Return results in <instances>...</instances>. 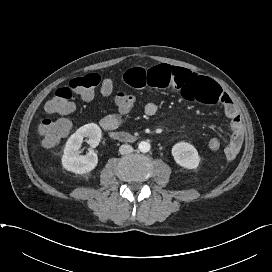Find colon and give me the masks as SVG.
Masks as SVG:
<instances>
[{"mask_svg":"<svg viewBox=\"0 0 272 272\" xmlns=\"http://www.w3.org/2000/svg\"><path fill=\"white\" fill-rule=\"evenodd\" d=\"M99 84H101V92L104 96H110L114 92L111 81H101L99 75L94 73L76 77L67 86L56 90L53 97L46 102L44 109L47 114L57 115L58 118H45L37 127V132L45 147L56 146L68 134L71 128V116L74 112L72 102L74 93L89 100L93 97L94 89ZM113 101L118 111L126 114L136 106L137 98L131 93L120 91L114 95ZM221 146L217 138H211L208 141V147L211 150H219Z\"/></svg>","mask_w":272,"mask_h":272,"instance_id":"5ec220e1","label":"colon"}]
</instances>
